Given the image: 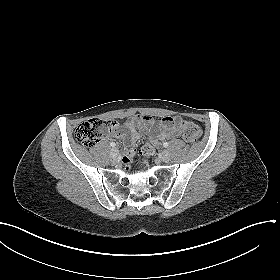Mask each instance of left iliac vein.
Segmentation results:
<instances>
[{
    "mask_svg": "<svg viewBox=\"0 0 280 280\" xmlns=\"http://www.w3.org/2000/svg\"><path fill=\"white\" fill-rule=\"evenodd\" d=\"M160 158L163 162H168L170 160V153L167 150H163Z\"/></svg>",
    "mask_w": 280,
    "mask_h": 280,
    "instance_id": "left-iliac-vein-1",
    "label": "left iliac vein"
}]
</instances>
